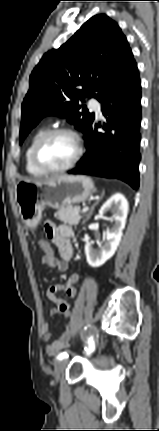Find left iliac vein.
Wrapping results in <instances>:
<instances>
[{
	"mask_svg": "<svg viewBox=\"0 0 159 431\" xmlns=\"http://www.w3.org/2000/svg\"><path fill=\"white\" fill-rule=\"evenodd\" d=\"M67 366V361L66 360H60L56 366H55V371H54V377L55 380L58 382L61 379V376L63 375L65 368Z\"/></svg>",
	"mask_w": 159,
	"mask_h": 431,
	"instance_id": "left-iliac-vein-1",
	"label": "left iliac vein"
}]
</instances>
